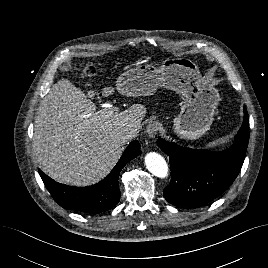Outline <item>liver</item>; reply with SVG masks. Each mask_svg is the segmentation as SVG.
<instances>
[{
	"label": "liver",
	"mask_w": 268,
	"mask_h": 268,
	"mask_svg": "<svg viewBox=\"0 0 268 268\" xmlns=\"http://www.w3.org/2000/svg\"><path fill=\"white\" fill-rule=\"evenodd\" d=\"M112 90L104 89L109 96ZM69 80L61 79L40 102L35 116L33 154L41 170L57 182L89 186L102 180L116 164L128 140L113 131H139L146 108L134 104L108 118Z\"/></svg>",
	"instance_id": "6515ba94"
}]
</instances>
